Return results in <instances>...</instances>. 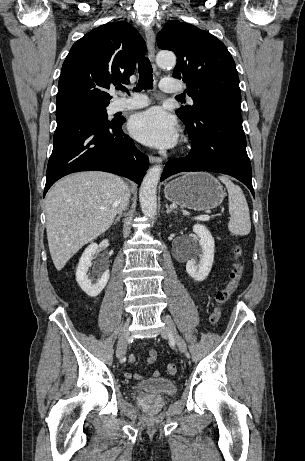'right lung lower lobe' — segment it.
<instances>
[{
  "mask_svg": "<svg viewBox=\"0 0 305 461\" xmlns=\"http://www.w3.org/2000/svg\"><path fill=\"white\" fill-rule=\"evenodd\" d=\"M56 119L44 196L58 179L79 171L110 172L140 184L149 159L122 131L124 118L102 122L82 115L62 114Z\"/></svg>",
  "mask_w": 305,
  "mask_h": 461,
  "instance_id": "1",
  "label": "right lung lower lobe"
}]
</instances>
